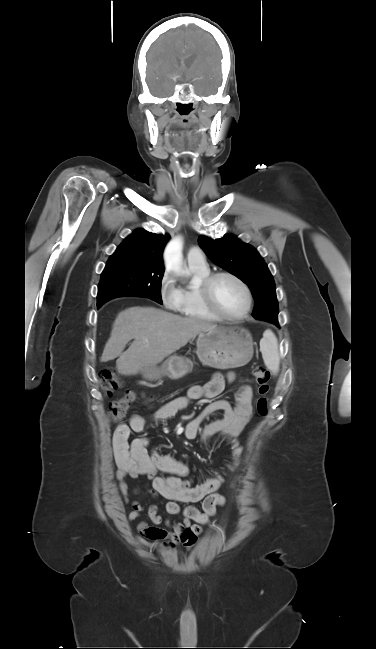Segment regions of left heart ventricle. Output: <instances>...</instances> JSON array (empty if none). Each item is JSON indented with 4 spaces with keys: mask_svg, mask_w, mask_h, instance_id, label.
I'll use <instances>...</instances> for the list:
<instances>
[{
    "mask_svg": "<svg viewBox=\"0 0 376 649\" xmlns=\"http://www.w3.org/2000/svg\"><path fill=\"white\" fill-rule=\"evenodd\" d=\"M213 296L218 307L228 315L238 316L246 307V297L240 285L229 277L217 279Z\"/></svg>",
    "mask_w": 376,
    "mask_h": 649,
    "instance_id": "1",
    "label": "left heart ventricle"
}]
</instances>
